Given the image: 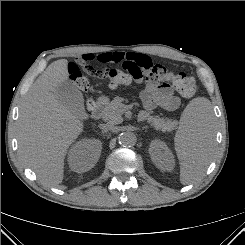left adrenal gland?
<instances>
[{
    "label": "left adrenal gland",
    "mask_w": 245,
    "mask_h": 245,
    "mask_svg": "<svg viewBox=\"0 0 245 245\" xmlns=\"http://www.w3.org/2000/svg\"><path fill=\"white\" fill-rule=\"evenodd\" d=\"M146 128H148V127H147V126H145V127H143V128H142V130H144V129H146Z\"/></svg>",
    "instance_id": "a2214340"
}]
</instances>
